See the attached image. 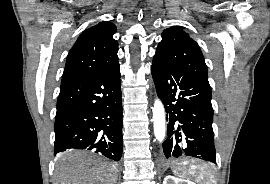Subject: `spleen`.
I'll return each mask as SVG.
<instances>
[{"mask_svg":"<svg viewBox=\"0 0 270 184\" xmlns=\"http://www.w3.org/2000/svg\"><path fill=\"white\" fill-rule=\"evenodd\" d=\"M177 176L183 179H195L199 184H214L213 173L206 165H189L181 175Z\"/></svg>","mask_w":270,"mask_h":184,"instance_id":"obj_1","label":"spleen"}]
</instances>
